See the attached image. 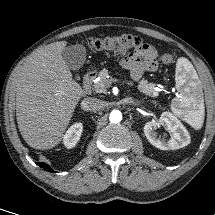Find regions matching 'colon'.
<instances>
[{
	"label": "colon",
	"instance_id": "1",
	"mask_svg": "<svg viewBox=\"0 0 215 215\" xmlns=\"http://www.w3.org/2000/svg\"><path fill=\"white\" fill-rule=\"evenodd\" d=\"M88 45L98 51H105L119 55H126L132 50H138L143 46V41L139 36L131 34H122L118 36L104 38H90ZM175 59L173 52L164 53L161 61L165 65H170Z\"/></svg>",
	"mask_w": 215,
	"mask_h": 215
}]
</instances>
